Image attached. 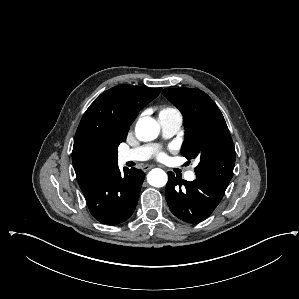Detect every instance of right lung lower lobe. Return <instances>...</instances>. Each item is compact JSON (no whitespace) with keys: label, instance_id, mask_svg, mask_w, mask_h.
Masks as SVG:
<instances>
[{"label":"right lung lower lobe","instance_id":"obj_1","mask_svg":"<svg viewBox=\"0 0 299 299\" xmlns=\"http://www.w3.org/2000/svg\"><path fill=\"white\" fill-rule=\"evenodd\" d=\"M144 173L140 169H124L121 174L114 164L82 190L92 216L103 224L117 225L127 220L138 202Z\"/></svg>","mask_w":299,"mask_h":299}]
</instances>
